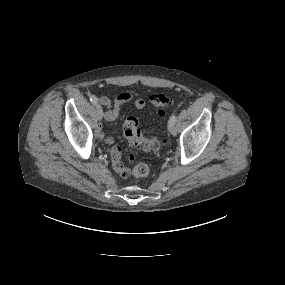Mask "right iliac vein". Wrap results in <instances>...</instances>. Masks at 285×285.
Instances as JSON below:
<instances>
[{
    "label": "right iliac vein",
    "mask_w": 285,
    "mask_h": 285,
    "mask_svg": "<svg viewBox=\"0 0 285 285\" xmlns=\"http://www.w3.org/2000/svg\"><path fill=\"white\" fill-rule=\"evenodd\" d=\"M95 108H96L97 117H98L99 120H101L102 117H103L102 108H101V106L98 103L95 105Z\"/></svg>",
    "instance_id": "obj_1"
}]
</instances>
